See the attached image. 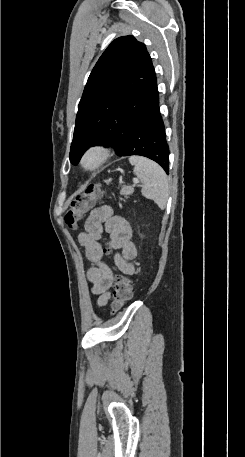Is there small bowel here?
Wrapping results in <instances>:
<instances>
[{"instance_id": "obj_1", "label": "small bowel", "mask_w": 245, "mask_h": 457, "mask_svg": "<svg viewBox=\"0 0 245 457\" xmlns=\"http://www.w3.org/2000/svg\"><path fill=\"white\" fill-rule=\"evenodd\" d=\"M84 228L78 241L85 248L87 258L93 263L87 272V278L92 284V293L98 296L97 306L102 307L110 298L109 290L113 284L114 272L103 260L100 239L104 232L109 234V246L121 250L114 257L115 268L131 275L134 273L131 261L137 255L131 241L132 229L125 218L115 215L113 209L107 205L94 208L87 217Z\"/></svg>"}]
</instances>
